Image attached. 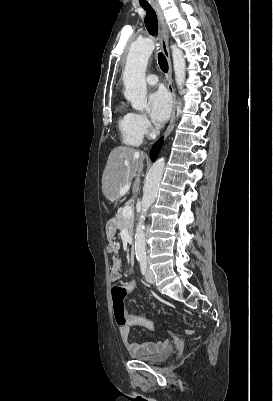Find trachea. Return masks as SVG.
<instances>
[{"mask_svg": "<svg viewBox=\"0 0 273 401\" xmlns=\"http://www.w3.org/2000/svg\"><path fill=\"white\" fill-rule=\"evenodd\" d=\"M142 8L146 10V17H145V26L152 36L157 35V16L155 11L150 5H141ZM158 63L160 65V68L163 72L167 73L168 72V62L166 60V57L163 55V53L159 52L158 54Z\"/></svg>", "mask_w": 273, "mask_h": 401, "instance_id": "obj_1", "label": "trachea"}]
</instances>
